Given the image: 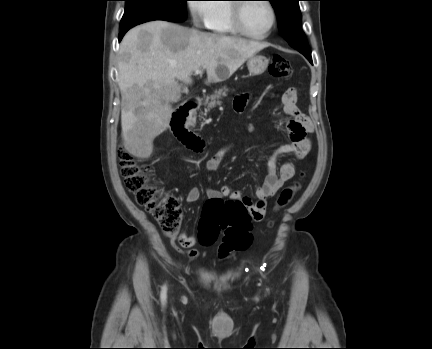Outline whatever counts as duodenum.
I'll list each match as a JSON object with an SVG mask.
<instances>
[{"label": "duodenum", "mask_w": 432, "mask_h": 349, "mask_svg": "<svg viewBox=\"0 0 432 349\" xmlns=\"http://www.w3.org/2000/svg\"><path fill=\"white\" fill-rule=\"evenodd\" d=\"M200 105V97L185 101L172 115L171 129L176 138L187 148L200 152L204 144L191 130V118Z\"/></svg>", "instance_id": "obj_1"}]
</instances>
